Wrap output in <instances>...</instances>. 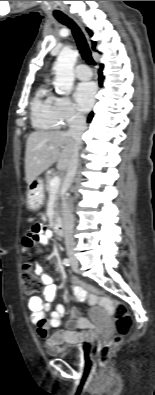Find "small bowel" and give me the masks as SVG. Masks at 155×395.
<instances>
[{
  "label": "small bowel",
  "instance_id": "small-bowel-1",
  "mask_svg": "<svg viewBox=\"0 0 155 395\" xmlns=\"http://www.w3.org/2000/svg\"><path fill=\"white\" fill-rule=\"evenodd\" d=\"M48 240L49 236L46 233V227L43 224H36L23 239V247L29 248L35 245L39 250H45L48 246ZM35 272L43 284L44 300L39 297H31L28 301V308L31 311L30 322L41 338L43 346L52 353L63 343L79 344L93 339L96 334L95 325L89 319L82 317L76 309L71 311L65 330H59L51 336L48 335L50 328H58L61 325L64 307L59 305L50 316L46 315L50 303L56 297L57 288L53 283L52 277L44 273L41 267L36 264ZM70 289H74L80 302L99 305L104 312H111L113 310L112 302L107 297L92 294L87 288H81L80 285H76L74 288L70 286ZM94 313L100 317L103 323V313L97 310Z\"/></svg>",
  "mask_w": 155,
  "mask_h": 395
}]
</instances>
